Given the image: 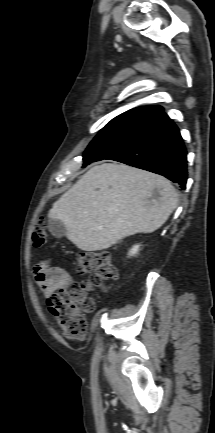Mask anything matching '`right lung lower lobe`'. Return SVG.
<instances>
[{"instance_id":"obj_1","label":"right lung lower lobe","mask_w":215,"mask_h":433,"mask_svg":"<svg viewBox=\"0 0 215 433\" xmlns=\"http://www.w3.org/2000/svg\"><path fill=\"white\" fill-rule=\"evenodd\" d=\"M186 154L178 127L160 111L147 121L130 143L105 159L163 175L184 190L187 181Z\"/></svg>"}]
</instances>
